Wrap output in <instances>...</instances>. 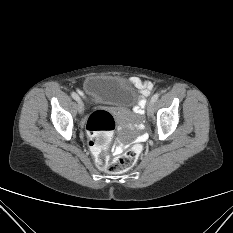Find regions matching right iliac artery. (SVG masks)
<instances>
[{"mask_svg": "<svg viewBox=\"0 0 233 233\" xmlns=\"http://www.w3.org/2000/svg\"><path fill=\"white\" fill-rule=\"evenodd\" d=\"M71 96L76 100L78 95L75 92H71Z\"/></svg>", "mask_w": 233, "mask_h": 233, "instance_id": "82829eb1", "label": "right iliac artery"}]
</instances>
